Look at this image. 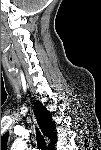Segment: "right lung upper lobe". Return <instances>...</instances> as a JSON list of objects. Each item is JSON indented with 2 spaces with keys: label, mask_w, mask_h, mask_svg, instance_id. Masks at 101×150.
Masks as SVG:
<instances>
[{
  "label": "right lung upper lobe",
  "mask_w": 101,
  "mask_h": 150,
  "mask_svg": "<svg viewBox=\"0 0 101 150\" xmlns=\"http://www.w3.org/2000/svg\"><path fill=\"white\" fill-rule=\"evenodd\" d=\"M34 113L36 115L39 126L42 130V133L48 137L51 141L49 144V149H52L56 142V134L54 133V125L51 122V117L46 108L42 105L41 102L36 101L34 103ZM6 140L7 134H4L1 138V149L6 150Z\"/></svg>",
  "instance_id": "obj_1"
}]
</instances>
